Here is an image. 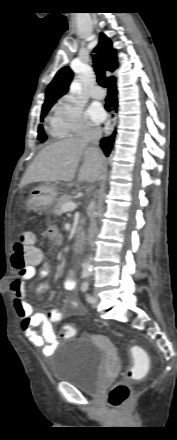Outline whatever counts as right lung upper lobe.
Segmentation results:
<instances>
[{
    "label": "right lung upper lobe",
    "mask_w": 177,
    "mask_h": 440,
    "mask_svg": "<svg viewBox=\"0 0 177 440\" xmlns=\"http://www.w3.org/2000/svg\"><path fill=\"white\" fill-rule=\"evenodd\" d=\"M95 51L99 52L102 56L105 64V69L113 72L117 67L116 51L112 47L111 40L107 38L103 33H100L99 44L95 48ZM72 77L73 72L68 66L60 69L54 77L53 81L48 85L46 89L44 103L56 102L59 97L66 94Z\"/></svg>",
    "instance_id": "cb5924a9"
}]
</instances>
